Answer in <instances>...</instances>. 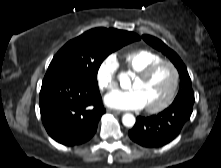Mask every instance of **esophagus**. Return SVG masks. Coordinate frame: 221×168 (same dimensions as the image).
<instances>
[{"mask_svg": "<svg viewBox=\"0 0 221 168\" xmlns=\"http://www.w3.org/2000/svg\"><path fill=\"white\" fill-rule=\"evenodd\" d=\"M108 112L113 113V114H117V115L123 113L122 111H119V110H113V109H109Z\"/></svg>", "mask_w": 221, "mask_h": 168, "instance_id": "34e87169", "label": "esophagus"}]
</instances>
